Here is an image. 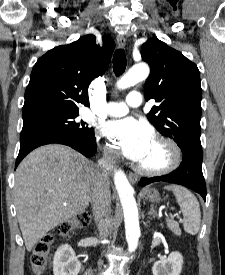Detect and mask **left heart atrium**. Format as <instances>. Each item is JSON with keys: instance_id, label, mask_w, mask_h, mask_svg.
Instances as JSON below:
<instances>
[{"instance_id": "39dd6f15", "label": "left heart atrium", "mask_w": 225, "mask_h": 275, "mask_svg": "<svg viewBox=\"0 0 225 275\" xmlns=\"http://www.w3.org/2000/svg\"><path fill=\"white\" fill-rule=\"evenodd\" d=\"M104 134L127 158L139 162L154 140V133L144 121L132 117L109 121Z\"/></svg>"}]
</instances>
